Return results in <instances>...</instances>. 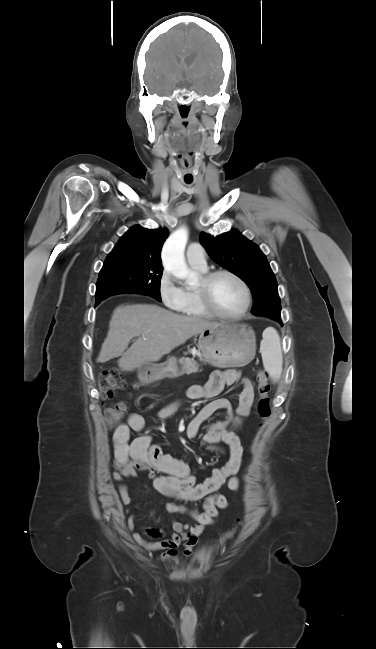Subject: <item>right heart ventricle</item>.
I'll use <instances>...</instances> for the list:
<instances>
[{"instance_id":"e07e8e85","label":"right heart ventricle","mask_w":376,"mask_h":649,"mask_svg":"<svg viewBox=\"0 0 376 649\" xmlns=\"http://www.w3.org/2000/svg\"><path fill=\"white\" fill-rule=\"evenodd\" d=\"M193 268L201 274H204L207 271L206 268H201L197 266H193ZM182 290H183V300L180 307L178 308L179 312L189 317H196V318L212 317V315L204 309L197 292V287L186 286L182 288Z\"/></svg>"}]
</instances>
